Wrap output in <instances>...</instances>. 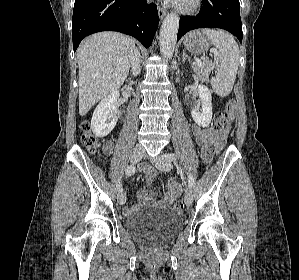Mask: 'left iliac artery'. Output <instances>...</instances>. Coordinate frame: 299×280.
<instances>
[{
    "label": "left iliac artery",
    "mask_w": 299,
    "mask_h": 280,
    "mask_svg": "<svg viewBox=\"0 0 299 280\" xmlns=\"http://www.w3.org/2000/svg\"><path fill=\"white\" fill-rule=\"evenodd\" d=\"M165 158L169 161H176V159H177L176 155L173 154V153L165 154ZM193 184H194V178L190 173H188V185H189V187H192Z\"/></svg>",
    "instance_id": "44dca946"
}]
</instances>
